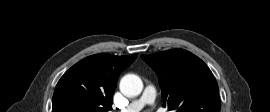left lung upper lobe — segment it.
Instances as JSON below:
<instances>
[{
  "instance_id": "5c2ea615",
  "label": "left lung upper lobe",
  "mask_w": 270,
  "mask_h": 112,
  "mask_svg": "<svg viewBox=\"0 0 270 112\" xmlns=\"http://www.w3.org/2000/svg\"><path fill=\"white\" fill-rule=\"evenodd\" d=\"M141 57L155 70L168 110L220 112L216 79L200 58L183 49Z\"/></svg>"
}]
</instances>
